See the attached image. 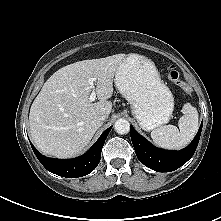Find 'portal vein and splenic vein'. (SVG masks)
Segmentation results:
<instances>
[{
  "label": "portal vein and splenic vein",
  "mask_w": 221,
  "mask_h": 221,
  "mask_svg": "<svg viewBox=\"0 0 221 221\" xmlns=\"http://www.w3.org/2000/svg\"><path fill=\"white\" fill-rule=\"evenodd\" d=\"M94 81H95V78H89V79H88V83L90 84V86H91V88H92V90H93V91L91 92L90 96H89V101H90V102H93V101H95V99H96V92H95Z\"/></svg>",
  "instance_id": "18ae733b"
}]
</instances>
